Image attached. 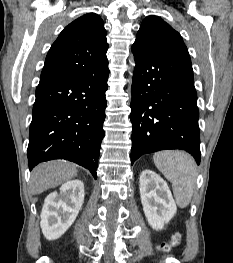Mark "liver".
<instances>
[{
  "label": "liver",
  "instance_id": "1",
  "mask_svg": "<svg viewBox=\"0 0 233 263\" xmlns=\"http://www.w3.org/2000/svg\"><path fill=\"white\" fill-rule=\"evenodd\" d=\"M77 175L76 166L66 161H50L35 167L31 173L30 191L40 194L55 188Z\"/></svg>",
  "mask_w": 233,
  "mask_h": 263
}]
</instances>
